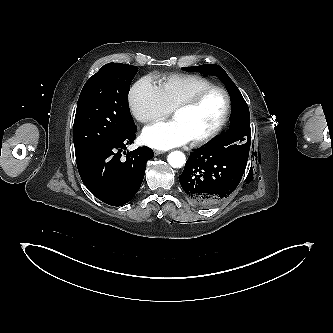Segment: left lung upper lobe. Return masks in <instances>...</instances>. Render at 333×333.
<instances>
[{
    "label": "left lung upper lobe",
    "instance_id": "1",
    "mask_svg": "<svg viewBox=\"0 0 333 333\" xmlns=\"http://www.w3.org/2000/svg\"><path fill=\"white\" fill-rule=\"evenodd\" d=\"M182 69L187 72H201L204 74L215 75L225 84L231 99V127L227 133L218 136L209 145L247 162L250 151V133L248 131L250 130V115L248 106L234 82L230 79L224 69L216 64L183 67ZM241 114H244L245 116L244 125H241V122L239 121ZM245 128L249 129L245 131Z\"/></svg>",
    "mask_w": 333,
    "mask_h": 333
}]
</instances>
